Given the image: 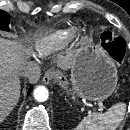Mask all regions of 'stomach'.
I'll list each match as a JSON object with an SVG mask.
<instances>
[{
	"instance_id": "stomach-1",
	"label": "stomach",
	"mask_w": 130,
	"mask_h": 130,
	"mask_svg": "<svg viewBox=\"0 0 130 130\" xmlns=\"http://www.w3.org/2000/svg\"><path fill=\"white\" fill-rule=\"evenodd\" d=\"M72 56V89H66L67 93L89 101H102L115 91L117 70L110 58L84 45H80Z\"/></svg>"
}]
</instances>
